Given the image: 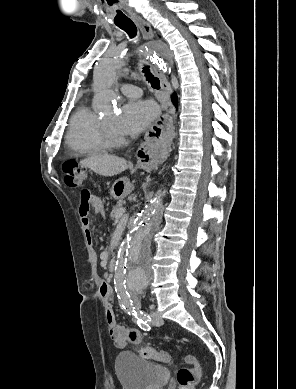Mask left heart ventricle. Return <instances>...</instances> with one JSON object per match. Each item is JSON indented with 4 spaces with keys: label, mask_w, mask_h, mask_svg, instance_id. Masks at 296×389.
Wrapping results in <instances>:
<instances>
[{
    "label": "left heart ventricle",
    "mask_w": 296,
    "mask_h": 389,
    "mask_svg": "<svg viewBox=\"0 0 296 389\" xmlns=\"http://www.w3.org/2000/svg\"><path fill=\"white\" fill-rule=\"evenodd\" d=\"M104 120L108 123V125H109L113 130H115L116 132H118L117 127H116L117 121H118V120H117V117H116V116H114V115L107 116V117L104 118Z\"/></svg>",
    "instance_id": "left-heart-ventricle-1"
}]
</instances>
